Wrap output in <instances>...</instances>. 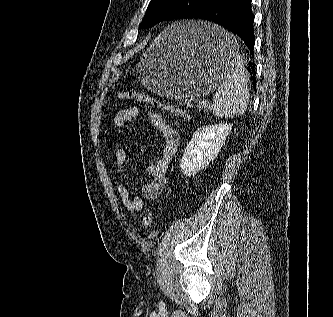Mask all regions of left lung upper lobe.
Wrapping results in <instances>:
<instances>
[{
  "label": "left lung upper lobe",
  "mask_w": 333,
  "mask_h": 317,
  "mask_svg": "<svg viewBox=\"0 0 333 317\" xmlns=\"http://www.w3.org/2000/svg\"><path fill=\"white\" fill-rule=\"evenodd\" d=\"M213 0H151L140 28L151 27L161 21L186 19L187 16Z\"/></svg>",
  "instance_id": "obj_1"
}]
</instances>
